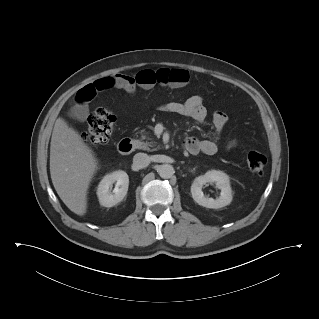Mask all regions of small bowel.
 <instances>
[{
    "label": "small bowel",
    "mask_w": 319,
    "mask_h": 319,
    "mask_svg": "<svg viewBox=\"0 0 319 319\" xmlns=\"http://www.w3.org/2000/svg\"><path fill=\"white\" fill-rule=\"evenodd\" d=\"M188 80V72L184 69H147L139 72L136 77L123 74L109 75L92 84H88L79 90L77 100L82 104L75 107V116L78 119H84L87 116L88 109L83 103L92 100L97 92L117 88L123 89L128 93H133L137 86L144 89H150L156 84L167 87H179L185 85ZM160 109L164 112L190 117L201 123L204 122L208 116V111L204 106L203 98L200 95H192L184 102H168L163 104ZM227 120V115L222 111H215L212 114V122L217 137L221 134ZM184 144L185 149L191 154L204 153L206 155H212L218 149L217 139L199 140L196 137L191 136L185 140ZM235 145L236 140H231L227 146L228 148H232Z\"/></svg>",
    "instance_id": "obj_1"
}]
</instances>
